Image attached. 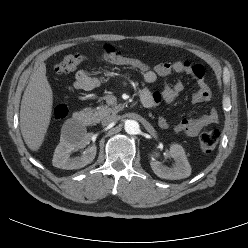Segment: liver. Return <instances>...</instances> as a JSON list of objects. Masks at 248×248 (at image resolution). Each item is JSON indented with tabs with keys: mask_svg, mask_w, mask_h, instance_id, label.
Segmentation results:
<instances>
[{
	"mask_svg": "<svg viewBox=\"0 0 248 248\" xmlns=\"http://www.w3.org/2000/svg\"><path fill=\"white\" fill-rule=\"evenodd\" d=\"M53 92L46 77V65L41 63L31 75L20 107V129L32 151H37L45 138L51 120Z\"/></svg>",
	"mask_w": 248,
	"mask_h": 248,
	"instance_id": "liver-1",
	"label": "liver"
}]
</instances>
